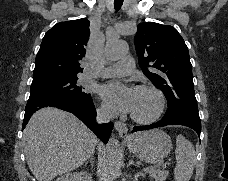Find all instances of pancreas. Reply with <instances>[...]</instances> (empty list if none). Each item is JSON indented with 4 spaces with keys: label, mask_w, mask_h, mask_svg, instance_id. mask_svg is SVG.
<instances>
[{
    "label": "pancreas",
    "mask_w": 228,
    "mask_h": 181,
    "mask_svg": "<svg viewBox=\"0 0 228 181\" xmlns=\"http://www.w3.org/2000/svg\"><path fill=\"white\" fill-rule=\"evenodd\" d=\"M150 177H153L155 181H165L166 177H168V171H160V169H151Z\"/></svg>",
    "instance_id": "pancreas-1"
}]
</instances>
